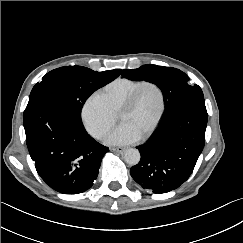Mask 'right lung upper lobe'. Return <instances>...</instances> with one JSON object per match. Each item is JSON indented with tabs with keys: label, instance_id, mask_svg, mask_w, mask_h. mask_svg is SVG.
<instances>
[{
	"label": "right lung upper lobe",
	"instance_id": "cb5924a9",
	"mask_svg": "<svg viewBox=\"0 0 243 243\" xmlns=\"http://www.w3.org/2000/svg\"><path fill=\"white\" fill-rule=\"evenodd\" d=\"M116 72L120 75V73H121V69H116ZM118 75V76H119Z\"/></svg>",
	"mask_w": 243,
	"mask_h": 243
}]
</instances>
